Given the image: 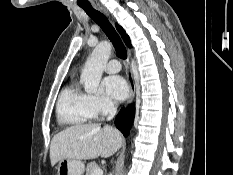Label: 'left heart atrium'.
Wrapping results in <instances>:
<instances>
[{
    "mask_svg": "<svg viewBox=\"0 0 233 175\" xmlns=\"http://www.w3.org/2000/svg\"><path fill=\"white\" fill-rule=\"evenodd\" d=\"M103 85L107 94L117 101H122L128 96V85L120 76H109L105 78Z\"/></svg>",
    "mask_w": 233,
    "mask_h": 175,
    "instance_id": "1",
    "label": "left heart atrium"
}]
</instances>
